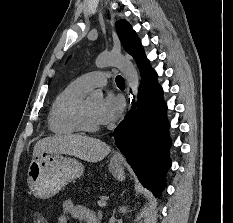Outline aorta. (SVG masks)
<instances>
[{
    "label": "aorta",
    "instance_id": "1",
    "mask_svg": "<svg viewBox=\"0 0 233 223\" xmlns=\"http://www.w3.org/2000/svg\"><path fill=\"white\" fill-rule=\"evenodd\" d=\"M95 64L97 68H107V66H115V68H118L122 72L128 86H130L135 100H137L139 76L136 68H134L133 64L127 58H124V56H98ZM89 98L90 100H97V102L103 100L102 90H92Z\"/></svg>",
    "mask_w": 233,
    "mask_h": 223
}]
</instances>
